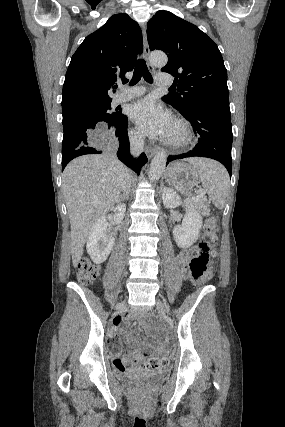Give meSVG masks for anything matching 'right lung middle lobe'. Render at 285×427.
<instances>
[{"mask_svg":"<svg viewBox=\"0 0 285 427\" xmlns=\"http://www.w3.org/2000/svg\"><path fill=\"white\" fill-rule=\"evenodd\" d=\"M110 103L111 102H107L65 115L63 116V123L71 122L77 117H85L104 123L108 128H110L113 126V123L121 117L120 112L109 113Z\"/></svg>","mask_w":285,"mask_h":427,"instance_id":"1","label":"right lung middle lobe"}]
</instances>
